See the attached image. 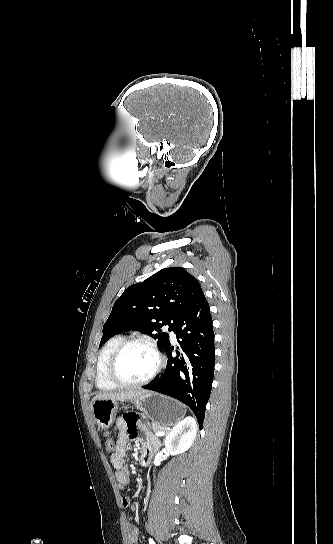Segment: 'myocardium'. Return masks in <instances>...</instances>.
Here are the masks:
<instances>
[{"label": "myocardium", "mask_w": 333, "mask_h": 544, "mask_svg": "<svg viewBox=\"0 0 333 544\" xmlns=\"http://www.w3.org/2000/svg\"><path fill=\"white\" fill-rule=\"evenodd\" d=\"M133 345H141L148 348L155 356L156 365L153 371L151 372V374L147 378L137 382H127L120 378L117 367H118L119 359L124 353V351ZM164 364H165L164 357L154 342L144 338L127 339V340H124L121 344H119L118 347L114 350V352L110 356V359L107 365V377L113 384H115L118 387H123V388L141 387L152 382L156 378V376L160 373Z\"/></svg>", "instance_id": "1"}]
</instances>
